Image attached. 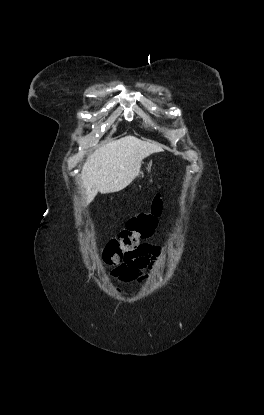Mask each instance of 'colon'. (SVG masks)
Returning a JSON list of instances; mask_svg holds the SVG:
<instances>
[{
	"label": "colon",
	"instance_id": "1",
	"mask_svg": "<svg viewBox=\"0 0 264 415\" xmlns=\"http://www.w3.org/2000/svg\"><path fill=\"white\" fill-rule=\"evenodd\" d=\"M161 213L162 200L160 194H157L148 211L132 217L126 227L108 241L102 262L107 266H118V269L129 264L141 245L153 236Z\"/></svg>",
	"mask_w": 264,
	"mask_h": 415
}]
</instances>
